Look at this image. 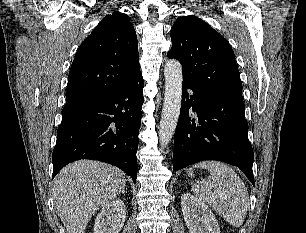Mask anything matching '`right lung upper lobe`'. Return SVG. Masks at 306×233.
Instances as JSON below:
<instances>
[{
  "label": "right lung upper lobe",
  "instance_id": "cb5924a9",
  "mask_svg": "<svg viewBox=\"0 0 306 233\" xmlns=\"http://www.w3.org/2000/svg\"><path fill=\"white\" fill-rule=\"evenodd\" d=\"M140 73L137 36L130 18L120 12L107 15L77 50L65 108L108 97Z\"/></svg>",
  "mask_w": 306,
  "mask_h": 233
}]
</instances>
